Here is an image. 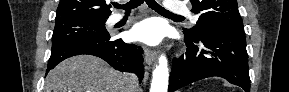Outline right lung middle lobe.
Returning <instances> with one entry per match:
<instances>
[{
    "label": "right lung middle lobe",
    "mask_w": 289,
    "mask_h": 92,
    "mask_svg": "<svg viewBox=\"0 0 289 92\" xmlns=\"http://www.w3.org/2000/svg\"><path fill=\"white\" fill-rule=\"evenodd\" d=\"M105 20L74 19L55 23L52 50L79 41H96L109 38Z\"/></svg>",
    "instance_id": "right-lung-middle-lobe-1"
}]
</instances>
